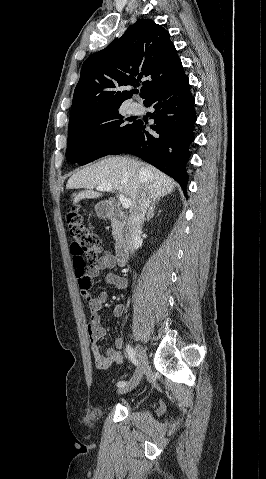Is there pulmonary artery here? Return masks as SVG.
<instances>
[{
	"label": "pulmonary artery",
	"instance_id": "obj_1",
	"mask_svg": "<svg viewBox=\"0 0 266 479\" xmlns=\"http://www.w3.org/2000/svg\"><path fill=\"white\" fill-rule=\"evenodd\" d=\"M130 110L133 113H139L141 111V105L139 103L133 102L130 105Z\"/></svg>",
	"mask_w": 266,
	"mask_h": 479
}]
</instances>
